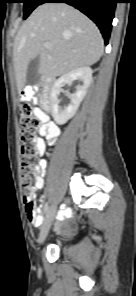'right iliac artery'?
Wrapping results in <instances>:
<instances>
[{
  "instance_id": "obj_1",
  "label": "right iliac artery",
  "mask_w": 136,
  "mask_h": 296,
  "mask_svg": "<svg viewBox=\"0 0 136 296\" xmlns=\"http://www.w3.org/2000/svg\"><path fill=\"white\" fill-rule=\"evenodd\" d=\"M50 210V202H46V208H44V215L46 216L48 211Z\"/></svg>"
}]
</instances>
